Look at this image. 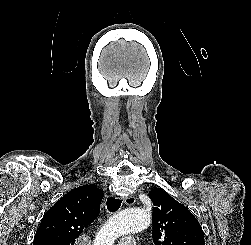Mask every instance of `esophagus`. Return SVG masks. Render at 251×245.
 <instances>
[{
    "instance_id": "obj_1",
    "label": "esophagus",
    "mask_w": 251,
    "mask_h": 245,
    "mask_svg": "<svg viewBox=\"0 0 251 245\" xmlns=\"http://www.w3.org/2000/svg\"><path fill=\"white\" fill-rule=\"evenodd\" d=\"M136 201L135 197L133 195H130V196H127L125 199H124V203L126 205H132L134 204Z\"/></svg>"
}]
</instances>
